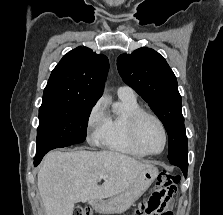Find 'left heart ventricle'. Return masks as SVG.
<instances>
[{"label": "left heart ventricle", "instance_id": "1", "mask_svg": "<svg viewBox=\"0 0 223 215\" xmlns=\"http://www.w3.org/2000/svg\"><path fill=\"white\" fill-rule=\"evenodd\" d=\"M138 141L140 149L144 152H157L162 146V134L160 128L150 118H144L138 129Z\"/></svg>", "mask_w": 223, "mask_h": 215}]
</instances>
